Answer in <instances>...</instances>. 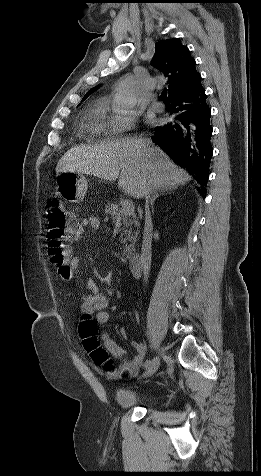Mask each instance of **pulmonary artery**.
Masks as SVG:
<instances>
[{
	"instance_id": "1",
	"label": "pulmonary artery",
	"mask_w": 261,
	"mask_h": 476,
	"mask_svg": "<svg viewBox=\"0 0 261 476\" xmlns=\"http://www.w3.org/2000/svg\"><path fill=\"white\" fill-rule=\"evenodd\" d=\"M151 105L157 111H162L164 109L163 104L154 97L151 100Z\"/></svg>"
}]
</instances>
